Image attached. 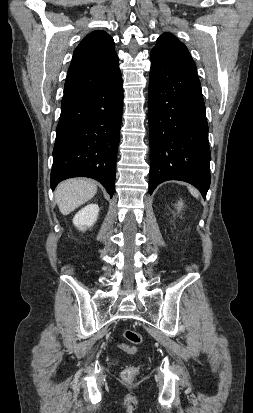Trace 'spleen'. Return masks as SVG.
Listing matches in <instances>:
<instances>
[{"mask_svg": "<svg viewBox=\"0 0 253 413\" xmlns=\"http://www.w3.org/2000/svg\"><path fill=\"white\" fill-rule=\"evenodd\" d=\"M188 189H189L190 193H191L195 198H198V197H199V192H198L195 188H193L192 186H188Z\"/></svg>", "mask_w": 253, "mask_h": 413, "instance_id": "spleen-1", "label": "spleen"}]
</instances>
